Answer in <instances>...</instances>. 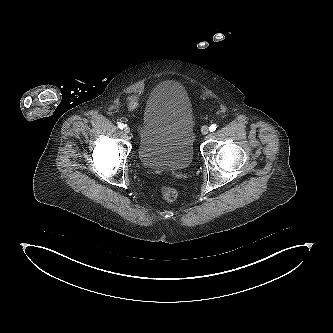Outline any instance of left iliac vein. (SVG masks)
<instances>
[{"mask_svg":"<svg viewBox=\"0 0 333 333\" xmlns=\"http://www.w3.org/2000/svg\"><path fill=\"white\" fill-rule=\"evenodd\" d=\"M208 132H209V128H208V126H206V125L202 126V128H201V133H202L203 135H206V134H208Z\"/></svg>","mask_w":333,"mask_h":333,"instance_id":"obj_1","label":"left iliac vein"}]
</instances>
